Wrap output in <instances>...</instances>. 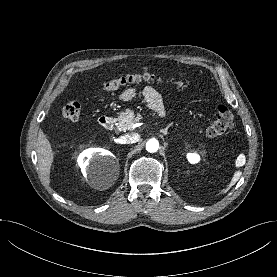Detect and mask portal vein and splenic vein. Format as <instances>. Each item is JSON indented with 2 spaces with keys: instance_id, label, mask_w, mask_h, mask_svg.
Masks as SVG:
<instances>
[{
  "instance_id": "1",
  "label": "portal vein and splenic vein",
  "mask_w": 277,
  "mask_h": 277,
  "mask_svg": "<svg viewBox=\"0 0 277 277\" xmlns=\"http://www.w3.org/2000/svg\"><path fill=\"white\" fill-rule=\"evenodd\" d=\"M139 125H140V123H135V124L132 125V128H135V127H137Z\"/></svg>"
}]
</instances>
